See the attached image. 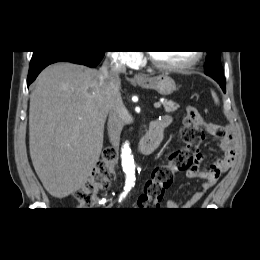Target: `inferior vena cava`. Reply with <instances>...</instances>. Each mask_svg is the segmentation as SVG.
Returning <instances> with one entry per match:
<instances>
[{"mask_svg": "<svg viewBox=\"0 0 260 260\" xmlns=\"http://www.w3.org/2000/svg\"><path fill=\"white\" fill-rule=\"evenodd\" d=\"M126 71L122 57L116 52H109L100 68V86L106 96L109 119L108 135L110 141L115 144L120 139L123 128V102L120 93V73Z\"/></svg>", "mask_w": 260, "mask_h": 260, "instance_id": "602c4592", "label": "inferior vena cava"}]
</instances>
